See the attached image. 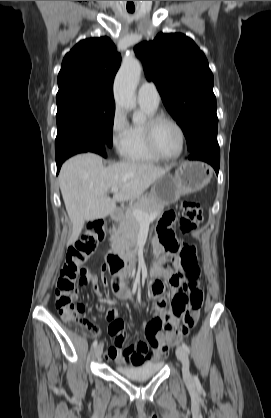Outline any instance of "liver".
I'll list each match as a JSON object with an SVG mask.
<instances>
[{
	"mask_svg": "<svg viewBox=\"0 0 271 418\" xmlns=\"http://www.w3.org/2000/svg\"><path fill=\"white\" fill-rule=\"evenodd\" d=\"M171 167H159L135 161H122L104 167L93 153L74 156L60 170L58 181L65 207L72 222L67 245L77 241L85 221L102 219L116 210V202L133 201ZM119 187L111 199L108 191Z\"/></svg>",
	"mask_w": 271,
	"mask_h": 418,
	"instance_id": "liver-1",
	"label": "liver"
}]
</instances>
